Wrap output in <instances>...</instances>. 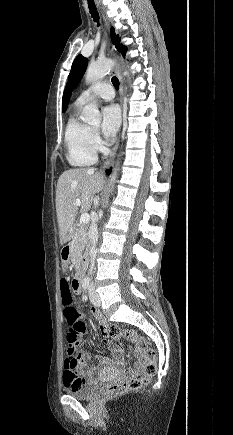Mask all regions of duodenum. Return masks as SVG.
I'll list each match as a JSON object with an SVG mask.
<instances>
[{
  "mask_svg": "<svg viewBox=\"0 0 233 435\" xmlns=\"http://www.w3.org/2000/svg\"><path fill=\"white\" fill-rule=\"evenodd\" d=\"M70 253H71V246L70 245L64 246L61 252V261L63 265H67L70 257ZM83 276H84V271L80 269L76 275V281L81 284Z\"/></svg>",
  "mask_w": 233,
  "mask_h": 435,
  "instance_id": "duodenum-1",
  "label": "duodenum"
}]
</instances>
